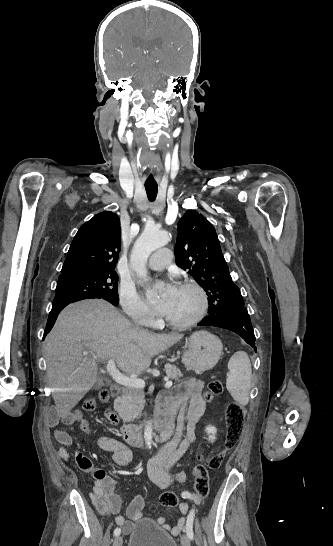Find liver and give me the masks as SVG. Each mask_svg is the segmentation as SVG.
Returning a JSON list of instances; mask_svg holds the SVG:
<instances>
[{"instance_id": "1", "label": "liver", "mask_w": 333, "mask_h": 546, "mask_svg": "<svg viewBox=\"0 0 333 546\" xmlns=\"http://www.w3.org/2000/svg\"><path fill=\"white\" fill-rule=\"evenodd\" d=\"M183 335L139 330L110 303L90 299L68 305L45 340L47 377L56 411L67 416L97 379V361L114 359L128 374L149 368L151 358ZM84 351L91 354L84 356Z\"/></svg>"}]
</instances>
